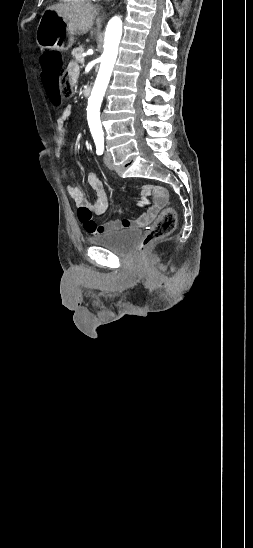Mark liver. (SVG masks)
<instances>
[{"instance_id":"1","label":"liver","mask_w":253,"mask_h":548,"mask_svg":"<svg viewBox=\"0 0 253 548\" xmlns=\"http://www.w3.org/2000/svg\"><path fill=\"white\" fill-rule=\"evenodd\" d=\"M47 10L63 17L72 35L87 33L98 14L97 7L88 3H59L49 6Z\"/></svg>"}]
</instances>
